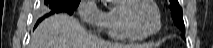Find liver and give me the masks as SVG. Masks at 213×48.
Returning <instances> with one entry per match:
<instances>
[{
	"label": "liver",
	"instance_id": "obj_1",
	"mask_svg": "<svg viewBox=\"0 0 213 48\" xmlns=\"http://www.w3.org/2000/svg\"><path fill=\"white\" fill-rule=\"evenodd\" d=\"M29 48H142L99 39L88 33L79 21L56 14L42 21L31 35Z\"/></svg>",
	"mask_w": 213,
	"mask_h": 48
}]
</instances>
